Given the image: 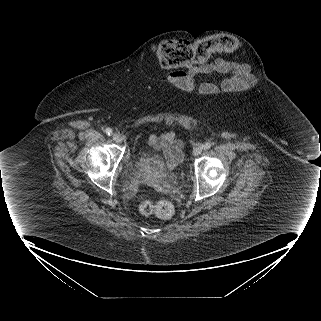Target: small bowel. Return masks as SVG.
Returning a JSON list of instances; mask_svg holds the SVG:
<instances>
[{
	"label": "small bowel",
	"instance_id": "1",
	"mask_svg": "<svg viewBox=\"0 0 321 321\" xmlns=\"http://www.w3.org/2000/svg\"><path fill=\"white\" fill-rule=\"evenodd\" d=\"M233 73V80H226L222 87L225 92L233 93L252 88L257 83L255 75L250 74V70L245 65H240L231 61L217 60L200 66L191 67L188 71L174 72L170 75V80L184 89L197 90L201 96H217L221 92V87L216 82H205L200 86V81L196 79L200 75ZM148 146L160 151L166 158L170 166H175L182 158L183 144L176 139L174 132L162 134H151Z\"/></svg>",
	"mask_w": 321,
	"mask_h": 321
}]
</instances>
